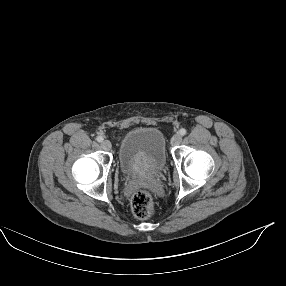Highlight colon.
<instances>
[{"mask_svg": "<svg viewBox=\"0 0 286 286\" xmlns=\"http://www.w3.org/2000/svg\"><path fill=\"white\" fill-rule=\"evenodd\" d=\"M131 209L137 218H149L154 211V203L151 194L145 190L137 191L131 199Z\"/></svg>", "mask_w": 286, "mask_h": 286, "instance_id": "5ec220e1", "label": "colon"}]
</instances>
